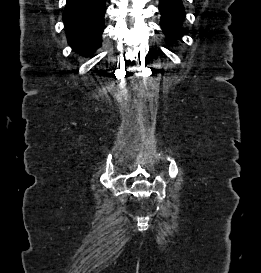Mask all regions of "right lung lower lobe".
I'll return each instance as SVG.
<instances>
[{"label":"right lung lower lobe","mask_w":261,"mask_h":273,"mask_svg":"<svg viewBox=\"0 0 261 273\" xmlns=\"http://www.w3.org/2000/svg\"><path fill=\"white\" fill-rule=\"evenodd\" d=\"M105 11V0H67L63 21L76 52L90 55L101 45Z\"/></svg>","instance_id":"right-lung-lower-lobe-1"}]
</instances>
